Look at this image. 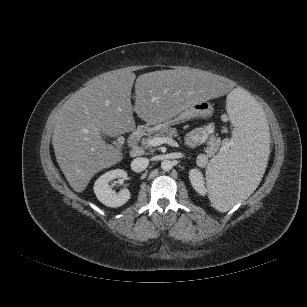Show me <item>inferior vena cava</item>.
Returning <instances> with one entry per match:
<instances>
[{"mask_svg": "<svg viewBox=\"0 0 307 307\" xmlns=\"http://www.w3.org/2000/svg\"><path fill=\"white\" fill-rule=\"evenodd\" d=\"M149 165V159L145 158V157H138L135 158L132 162H131V169L134 172H141L143 170H145Z\"/></svg>", "mask_w": 307, "mask_h": 307, "instance_id": "602c4592", "label": "inferior vena cava"}]
</instances>
